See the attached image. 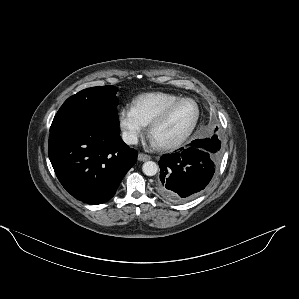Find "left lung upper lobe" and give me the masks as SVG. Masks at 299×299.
Returning <instances> with one entry per match:
<instances>
[{
	"instance_id": "obj_1",
	"label": "left lung upper lobe",
	"mask_w": 299,
	"mask_h": 299,
	"mask_svg": "<svg viewBox=\"0 0 299 299\" xmlns=\"http://www.w3.org/2000/svg\"><path fill=\"white\" fill-rule=\"evenodd\" d=\"M217 130V129H216ZM213 144L215 145V147L218 148V150H220L221 148V141L218 139V136L216 134H214L211 138H209Z\"/></svg>"
}]
</instances>
